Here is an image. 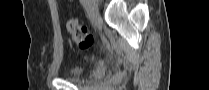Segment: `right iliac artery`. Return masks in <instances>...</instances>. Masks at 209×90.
Listing matches in <instances>:
<instances>
[{"mask_svg": "<svg viewBox=\"0 0 209 90\" xmlns=\"http://www.w3.org/2000/svg\"><path fill=\"white\" fill-rule=\"evenodd\" d=\"M87 3H88L87 0H83V1H82L83 6H86Z\"/></svg>", "mask_w": 209, "mask_h": 90, "instance_id": "82829eb1", "label": "right iliac artery"}]
</instances>
